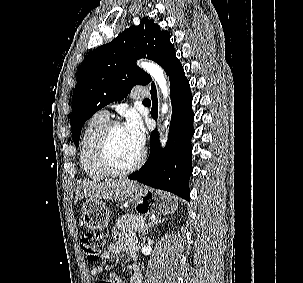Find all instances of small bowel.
Instances as JSON below:
<instances>
[{"mask_svg": "<svg viewBox=\"0 0 303 283\" xmlns=\"http://www.w3.org/2000/svg\"><path fill=\"white\" fill-rule=\"evenodd\" d=\"M128 252L130 256L134 257V238L129 234H121L118 237V240L115 243H112L108 246L106 251L102 254L101 258L104 261L112 260L121 253ZM102 268L100 266L95 267L91 271L93 277L99 276ZM116 283H124L123 278L120 276H115ZM137 280L138 283L142 281V274L140 269L135 265L132 275L128 278V283H133L134 280Z\"/></svg>", "mask_w": 303, "mask_h": 283, "instance_id": "c3829d8e", "label": "small bowel"}]
</instances>
